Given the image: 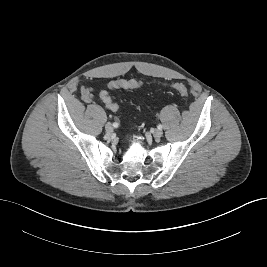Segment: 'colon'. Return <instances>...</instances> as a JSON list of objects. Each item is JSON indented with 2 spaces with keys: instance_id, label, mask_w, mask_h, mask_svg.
Instances as JSON below:
<instances>
[{
  "instance_id": "1",
  "label": "colon",
  "mask_w": 267,
  "mask_h": 267,
  "mask_svg": "<svg viewBox=\"0 0 267 267\" xmlns=\"http://www.w3.org/2000/svg\"><path fill=\"white\" fill-rule=\"evenodd\" d=\"M142 87V83L136 80H116L109 83V89H117V88H124V89H138ZM171 87L176 90L182 96H188V89L182 83H174ZM100 98L105 106L111 110L116 111L118 109V104L112 100L108 91L104 90L100 93Z\"/></svg>"
}]
</instances>
